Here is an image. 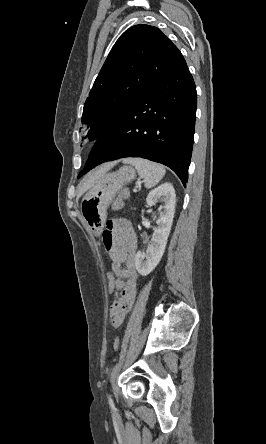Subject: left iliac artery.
Returning a JSON list of instances; mask_svg holds the SVG:
<instances>
[{
    "mask_svg": "<svg viewBox=\"0 0 266 444\" xmlns=\"http://www.w3.org/2000/svg\"><path fill=\"white\" fill-rule=\"evenodd\" d=\"M108 398H109V402L112 403V399H111V396H110V395H109Z\"/></svg>",
    "mask_w": 266,
    "mask_h": 444,
    "instance_id": "44dca946",
    "label": "left iliac artery"
}]
</instances>
